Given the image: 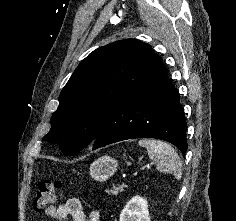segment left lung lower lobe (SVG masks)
Returning a JSON list of instances; mask_svg holds the SVG:
<instances>
[{
	"mask_svg": "<svg viewBox=\"0 0 236 221\" xmlns=\"http://www.w3.org/2000/svg\"><path fill=\"white\" fill-rule=\"evenodd\" d=\"M187 124L179 94L161 60L149 75L112 111L93 141V150L134 138H158L185 155Z\"/></svg>",
	"mask_w": 236,
	"mask_h": 221,
	"instance_id": "left-lung-lower-lobe-1",
	"label": "left lung lower lobe"
}]
</instances>
